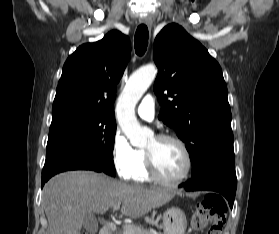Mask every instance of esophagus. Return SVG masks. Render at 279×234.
<instances>
[{"label":"esophagus","instance_id":"obj_1","mask_svg":"<svg viewBox=\"0 0 279 234\" xmlns=\"http://www.w3.org/2000/svg\"><path fill=\"white\" fill-rule=\"evenodd\" d=\"M141 22L144 23L149 29L152 27L153 21L150 16H145L141 19Z\"/></svg>","mask_w":279,"mask_h":234}]
</instances>
